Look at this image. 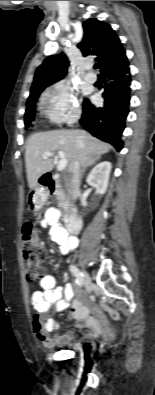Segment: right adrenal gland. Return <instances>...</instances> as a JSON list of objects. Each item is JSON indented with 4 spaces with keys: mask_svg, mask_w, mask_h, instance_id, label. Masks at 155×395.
<instances>
[{
    "mask_svg": "<svg viewBox=\"0 0 155 395\" xmlns=\"http://www.w3.org/2000/svg\"><path fill=\"white\" fill-rule=\"evenodd\" d=\"M99 159H100V156H96V157L91 158V159L86 163V165L84 166V168H83V170H82V172H81V177L84 175V172H85L86 168L89 167V166L94 165L95 162H96L97 160H99Z\"/></svg>",
    "mask_w": 155,
    "mask_h": 395,
    "instance_id": "obj_1",
    "label": "right adrenal gland"
}]
</instances>
